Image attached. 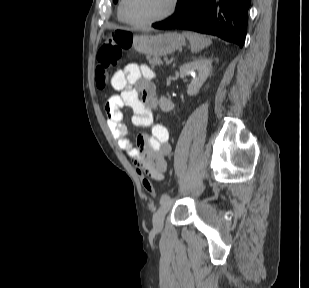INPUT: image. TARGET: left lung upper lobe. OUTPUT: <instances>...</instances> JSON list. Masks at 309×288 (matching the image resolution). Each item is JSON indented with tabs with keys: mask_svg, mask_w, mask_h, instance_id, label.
Instances as JSON below:
<instances>
[{
	"mask_svg": "<svg viewBox=\"0 0 309 288\" xmlns=\"http://www.w3.org/2000/svg\"><path fill=\"white\" fill-rule=\"evenodd\" d=\"M113 1H114V3H117L118 0H113Z\"/></svg>",
	"mask_w": 309,
	"mask_h": 288,
	"instance_id": "obj_1",
	"label": "left lung upper lobe"
}]
</instances>
